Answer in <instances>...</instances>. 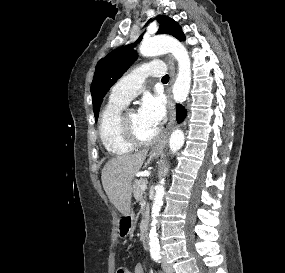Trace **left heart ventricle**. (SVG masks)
<instances>
[{
  "instance_id": "left-heart-ventricle-1",
  "label": "left heart ventricle",
  "mask_w": 285,
  "mask_h": 273,
  "mask_svg": "<svg viewBox=\"0 0 285 273\" xmlns=\"http://www.w3.org/2000/svg\"><path fill=\"white\" fill-rule=\"evenodd\" d=\"M126 119L131 127L134 129L136 134L141 139H149L153 137L158 128L144 123L138 116V113L135 111H129L126 114Z\"/></svg>"
}]
</instances>
